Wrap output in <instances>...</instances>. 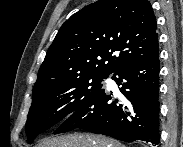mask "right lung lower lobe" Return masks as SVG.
<instances>
[{"label":"right lung lower lobe","instance_id":"right-lung-lower-lobe-1","mask_svg":"<svg viewBox=\"0 0 183 147\" xmlns=\"http://www.w3.org/2000/svg\"><path fill=\"white\" fill-rule=\"evenodd\" d=\"M159 57L131 62L116 70L112 79L121 100L100 89L66 119L54 134L83 129L118 140L159 144Z\"/></svg>","mask_w":183,"mask_h":147}]
</instances>
